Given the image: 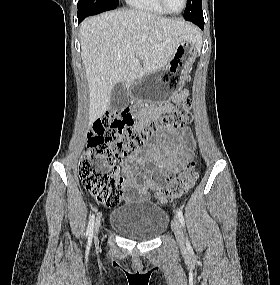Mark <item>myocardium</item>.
Instances as JSON below:
<instances>
[{"label":"myocardium","instance_id":"myocardium-1","mask_svg":"<svg viewBox=\"0 0 280 285\" xmlns=\"http://www.w3.org/2000/svg\"><path fill=\"white\" fill-rule=\"evenodd\" d=\"M159 3L161 4V6L164 8V10L167 13L177 15V14L182 13L185 10L187 3H188V0H183V7L181 8V10H179L177 12H174V11L169 9V7L167 6L166 0H159Z\"/></svg>","mask_w":280,"mask_h":285}]
</instances>
